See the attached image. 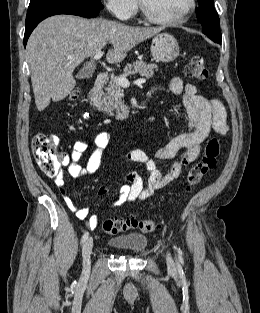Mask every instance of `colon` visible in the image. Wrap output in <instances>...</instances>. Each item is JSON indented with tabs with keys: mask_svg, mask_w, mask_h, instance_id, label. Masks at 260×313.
Returning a JSON list of instances; mask_svg holds the SVG:
<instances>
[{
	"mask_svg": "<svg viewBox=\"0 0 260 313\" xmlns=\"http://www.w3.org/2000/svg\"><path fill=\"white\" fill-rule=\"evenodd\" d=\"M185 73L188 77L205 81L208 78V70L204 58L193 57L186 65ZM79 92L74 90L71 94L72 99H76ZM58 141L55 136L38 133L32 141V151L35 161L39 168L48 177L61 175L62 167L65 164V155L57 149ZM220 154V143L216 138L209 140L205 147L202 159L196 163L186 176V187L192 189L197 186L203 176L214 169ZM156 228L153 220H138L133 218L118 219L112 218L102 221L101 229L111 235H116L128 230H139L143 233H150Z\"/></svg>",
	"mask_w": 260,
	"mask_h": 313,
	"instance_id": "5ec220e1",
	"label": "colon"
}]
</instances>
